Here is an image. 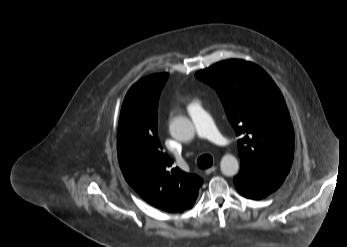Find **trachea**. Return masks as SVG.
Listing matches in <instances>:
<instances>
[{"label":"trachea","mask_w":347,"mask_h":247,"mask_svg":"<svg viewBox=\"0 0 347 247\" xmlns=\"http://www.w3.org/2000/svg\"><path fill=\"white\" fill-rule=\"evenodd\" d=\"M213 164V159L210 155H202L197 160V165L201 169H207Z\"/></svg>","instance_id":"3493384b"}]
</instances>
